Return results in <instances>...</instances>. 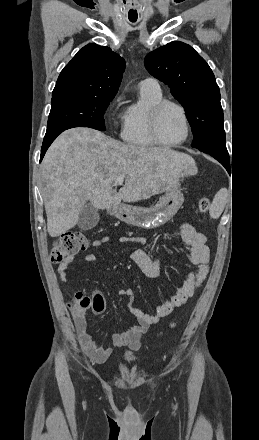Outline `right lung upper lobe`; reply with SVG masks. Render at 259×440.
I'll use <instances>...</instances> for the list:
<instances>
[{
    "instance_id": "cb5924a9",
    "label": "right lung upper lobe",
    "mask_w": 259,
    "mask_h": 440,
    "mask_svg": "<svg viewBox=\"0 0 259 440\" xmlns=\"http://www.w3.org/2000/svg\"><path fill=\"white\" fill-rule=\"evenodd\" d=\"M124 69V59L110 48L88 44L61 71L52 96L82 94L114 97Z\"/></svg>"
}]
</instances>
